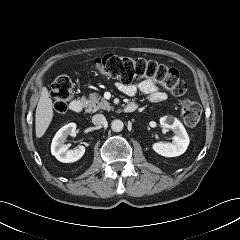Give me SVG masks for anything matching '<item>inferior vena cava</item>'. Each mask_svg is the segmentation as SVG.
<instances>
[{
    "instance_id": "inferior-vena-cava-1",
    "label": "inferior vena cava",
    "mask_w": 240,
    "mask_h": 240,
    "mask_svg": "<svg viewBox=\"0 0 240 240\" xmlns=\"http://www.w3.org/2000/svg\"><path fill=\"white\" fill-rule=\"evenodd\" d=\"M106 122V118L104 115L102 114H95L93 117H92V123L94 125H101V124H104Z\"/></svg>"
}]
</instances>
